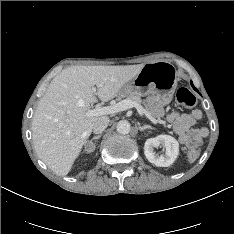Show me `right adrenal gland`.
<instances>
[{"mask_svg": "<svg viewBox=\"0 0 234 234\" xmlns=\"http://www.w3.org/2000/svg\"><path fill=\"white\" fill-rule=\"evenodd\" d=\"M101 137V134L97 135V136H94L90 141H86L85 145L88 143V144H93V141L94 140H97Z\"/></svg>", "mask_w": 234, "mask_h": 234, "instance_id": "right-adrenal-gland-1", "label": "right adrenal gland"}]
</instances>
